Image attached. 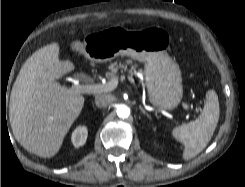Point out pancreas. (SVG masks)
Wrapping results in <instances>:
<instances>
[{"instance_id":"1","label":"pancreas","mask_w":245,"mask_h":187,"mask_svg":"<svg viewBox=\"0 0 245 187\" xmlns=\"http://www.w3.org/2000/svg\"><path fill=\"white\" fill-rule=\"evenodd\" d=\"M109 72L106 73V77L110 80L112 79H115V78H118V72L119 70L121 71H126L128 70L129 73L131 74H136L138 71L140 70H137V64H133L131 60H127L125 63H117V62H114V63H111L109 65Z\"/></svg>"}]
</instances>
